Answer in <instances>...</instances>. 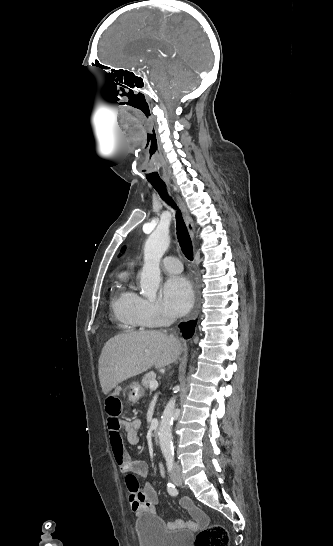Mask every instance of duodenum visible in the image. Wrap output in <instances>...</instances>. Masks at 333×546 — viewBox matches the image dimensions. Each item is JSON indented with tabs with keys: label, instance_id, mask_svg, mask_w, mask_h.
Listing matches in <instances>:
<instances>
[{
	"label": "duodenum",
	"instance_id": "1",
	"mask_svg": "<svg viewBox=\"0 0 333 546\" xmlns=\"http://www.w3.org/2000/svg\"><path fill=\"white\" fill-rule=\"evenodd\" d=\"M152 436L155 443L160 442V429L158 425L153 428Z\"/></svg>",
	"mask_w": 333,
	"mask_h": 546
}]
</instances>
